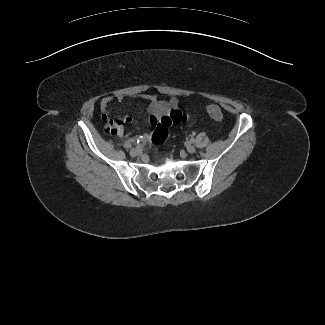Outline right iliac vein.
I'll return each instance as SVG.
<instances>
[{"mask_svg": "<svg viewBox=\"0 0 325 325\" xmlns=\"http://www.w3.org/2000/svg\"><path fill=\"white\" fill-rule=\"evenodd\" d=\"M130 155L133 156V157L137 156L138 155V150L134 149V148L130 149Z\"/></svg>", "mask_w": 325, "mask_h": 325, "instance_id": "63e3f726", "label": "right iliac vein"}]
</instances>
